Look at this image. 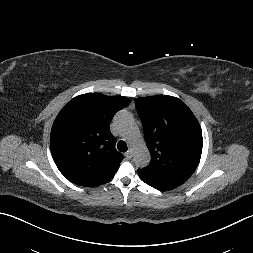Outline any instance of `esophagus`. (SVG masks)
Listing matches in <instances>:
<instances>
[{"instance_id":"obj_1","label":"esophagus","mask_w":253,"mask_h":253,"mask_svg":"<svg viewBox=\"0 0 253 253\" xmlns=\"http://www.w3.org/2000/svg\"><path fill=\"white\" fill-rule=\"evenodd\" d=\"M125 157H126L127 159H131V158H132V151H131V150L127 151V152L125 153Z\"/></svg>"}]
</instances>
